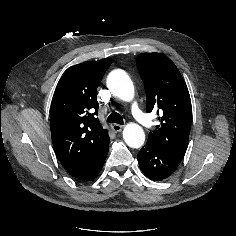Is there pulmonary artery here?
<instances>
[{
    "mask_svg": "<svg viewBox=\"0 0 236 236\" xmlns=\"http://www.w3.org/2000/svg\"><path fill=\"white\" fill-rule=\"evenodd\" d=\"M131 112L134 118L144 126H148L150 124V118L144 112L141 111L137 102H132L131 104Z\"/></svg>",
    "mask_w": 236,
    "mask_h": 236,
    "instance_id": "pulmonary-artery-1",
    "label": "pulmonary artery"
}]
</instances>
